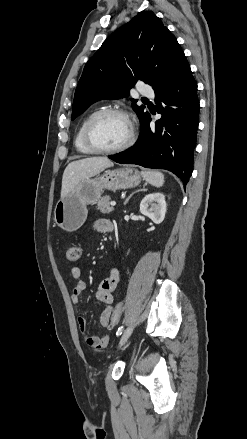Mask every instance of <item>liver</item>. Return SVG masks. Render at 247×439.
<instances>
[{
  "label": "liver",
  "mask_w": 247,
  "mask_h": 439,
  "mask_svg": "<svg viewBox=\"0 0 247 439\" xmlns=\"http://www.w3.org/2000/svg\"><path fill=\"white\" fill-rule=\"evenodd\" d=\"M114 164L107 157H89L69 163L62 177L61 198L82 180L93 177Z\"/></svg>",
  "instance_id": "6515ba94"
}]
</instances>
